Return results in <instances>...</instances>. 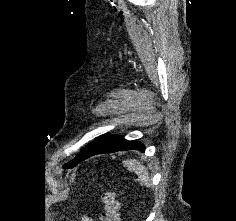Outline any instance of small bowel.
<instances>
[{"label": "small bowel", "mask_w": 236, "mask_h": 221, "mask_svg": "<svg viewBox=\"0 0 236 221\" xmlns=\"http://www.w3.org/2000/svg\"><path fill=\"white\" fill-rule=\"evenodd\" d=\"M82 221H92V219L88 216H83Z\"/></svg>", "instance_id": "c3829d8e"}]
</instances>
